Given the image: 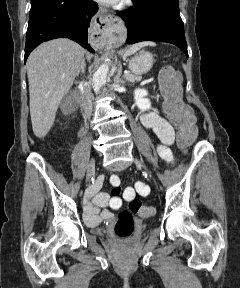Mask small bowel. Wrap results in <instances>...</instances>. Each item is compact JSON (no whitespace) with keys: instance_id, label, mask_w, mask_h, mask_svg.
<instances>
[{"instance_id":"obj_1","label":"small bowel","mask_w":240,"mask_h":288,"mask_svg":"<svg viewBox=\"0 0 240 288\" xmlns=\"http://www.w3.org/2000/svg\"><path fill=\"white\" fill-rule=\"evenodd\" d=\"M140 121L146 130L153 132L160 140L161 144L158 146L160 157L165 162L172 163L173 155L169 146L174 142L173 127L166 119L153 111L142 113ZM110 181L113 185L111 196L106 192L100 191L103 178H98L87 190L84 197V220L88 225L94 226L99 224L103 219H110L112 213L108 208L116 210L121 207L120 178L118 175H112ZM135 192L141 196H147L150 188L145 183L137 181L134 188H126L124 197L126 198L127 193L134 195Z\"/></svg>"}]
</instances>
